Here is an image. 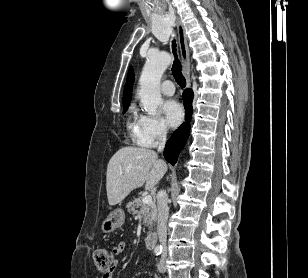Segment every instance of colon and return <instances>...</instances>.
<instances>
[{"instance_id":"5ec220e1","label":"colon","mask_w":308,"mask_h":278,"mask_svg":"<svg viewBox=\"0 0 308 278\" xmlns=\"http://www.w3.org/2000/svg\"><path fill=\"white\" fill-rule=\"evenodd\" d=\"M93 262L100 272H109L114 264V254L106 247H97L93 252Z\"/></svg>"}]
</instances>
